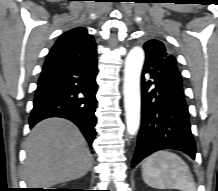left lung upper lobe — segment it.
I'll return each instance as SVG.
<instances>
[{
  "label": "left lung upper lobe",
  "instance_id": "1",
  "mask_svg": "<svg viewBox=\"0 0 218 191\" xmlns=\"http://www.w3.org/2000/svg\"><path fill=\"white\" fill-rule=\"evenodd\" d=\"M146 54L145 62L153 66L167 78L166 86L178 82L182 86V78L178 69L177 60L163 45L161 41L149 40L143 46Z\"/></svg>",
  "mask_w": 218,
  "mask_h": 191
}]
</instances>
